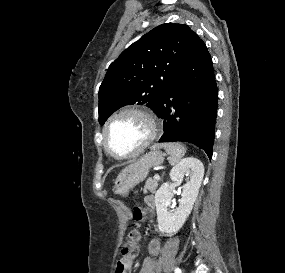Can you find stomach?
<instances>
[{
    "label": "stomach",
    "mask_w": 285,
    "mask_h": 273,
    "mask_svg": "<svg viewBox=\"0 0 285 273\" xmlns=\"http://www.w3.org/2000/svg\"><path fill=\"white\" fill-rule=\"evenodd\" d=\"M164 156L163 152L154 149L125 167L115 180L116 191L119 194L127 195L130 189L147 177L150 168L163 163Z\"/></svg>",
    "instance_id": "0dacf381"
}]
</instances>
